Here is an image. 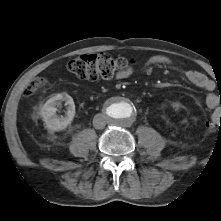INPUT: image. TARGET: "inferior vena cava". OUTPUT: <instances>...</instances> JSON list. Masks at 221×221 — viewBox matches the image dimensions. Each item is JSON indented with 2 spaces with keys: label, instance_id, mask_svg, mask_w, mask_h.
Instances as JSON below:
<instances>
[{
  "label": "inferior vena cava",
  "instance_id": "obj_1",
  "mask_svg": "<svg viewBox=\"0 0 221 221\" xmlns=\"http://www.w3.org/2000/svg\"><path fill=\"white\" fill-rule=\"evenodd\" d=\"M106 125V116L103 114H97L93 118V126L95 129H103Z\"/></svg>",
  "mask_w": 221,
  "mask_h": 221
}]
</instances>
